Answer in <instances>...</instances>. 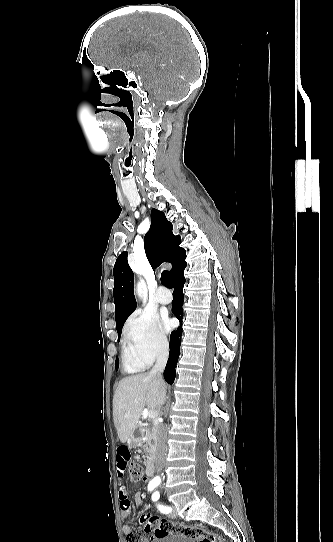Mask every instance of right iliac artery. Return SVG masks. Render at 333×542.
Wrapping results in <instances>:
<instances>
[{
    "mask_svg": "<svg viewBox=\"0 0 333 542\" xmlns=\"http://www.w3.org/2000/svg\"><path fill=\"white\" fill-rule=\"evenodd\" d=\"M159 483H149L148 490L152 491L154 488L158 486ZM155 502V501H154Z\"/></svg>",
    "mask_w": 333,
    "mask_h": 542,
    "instance_id": "right-iliac-artery-1",
    "label": "right iliac artery"
}]
</instances>
